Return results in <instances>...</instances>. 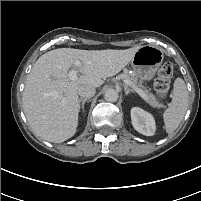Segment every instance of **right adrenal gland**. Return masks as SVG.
<instances>
[{"mask_svg":"<svg viewBox=\"0 0 201 201\" xmlns=\"http://www.w3.org/2000/svg\"><path fill=\"white\" fill-rule=\"evenodd\" d=\"M89 100L88 99H80V102H81V109L84 111V105H85V102H88Z\"/></svg>","mask_w":201,"mask_h":201,"instance_id":"obj_1","label":"right adrenal gland"}]
</instances>
